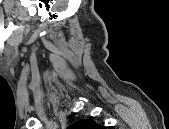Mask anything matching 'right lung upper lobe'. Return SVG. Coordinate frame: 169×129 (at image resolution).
Masks as SVG:
<instances>
[{
	"label": "right lung upper lobe",
	"mask_w": 169,
	"mask_h": 129,
	"mask_svg": "<svg viewBox=\"0 0 169 129\" xmlns=\"http://www.w3.org/2000/svg\"><path fill=\"white\" fill-rule=\"evenodd\" d=\"M72 128L74 129H99L102 128L99 124L94 122L92 119H81L75 123Z\"/></svg>",
	"instance_id": "right-lung-upper-lobe-1"
}]
</instances>
